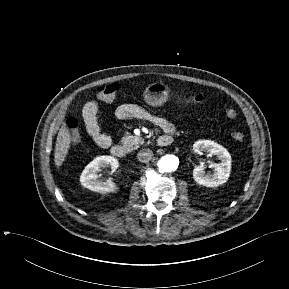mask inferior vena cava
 Masks as SVG:
<instances>
[{
  "instance_id": "obj_1",
  "label": "inferior vena cava",
  "mask_w": 289,
  "mask_h": 289,
  "mask_svg": "<svg viewBox=\"0 0 289 289\" xmlns=\"http://www.w3.org/2000/svg\"><path fill=\"white\" fill-rule=\"evenodd\" d=\"M152 156L153 152L150 149H142L137 153V159L143 163L149 162Z\"/></svg>"
}]
</instances>
